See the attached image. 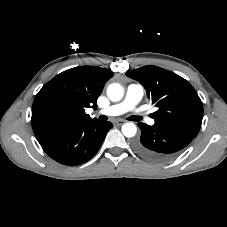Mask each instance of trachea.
Wrapping results in <instances>:
<instances>
[{"label":"trachea","mask_w":227,"mask_h":227,"mask_svg":"<svg viewBox=\"0 0 227 227\" xmlns=\"http://www.w3.org/2000/svg\"><path fill=\"white\" fill-rule=\"evenodd\" d=\"M106 119L107 118L105 116H101L99 118L100 121H105ZM129 120H131V121H140L141 120V117H139V116H130L129 117Z\"/></svg>","instance_id":"3493384b"}]
</instances>
